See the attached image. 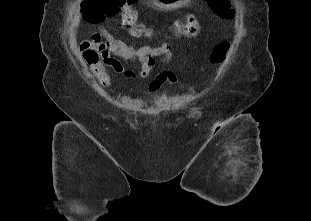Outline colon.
Listing matches in <instances>:
<instances>
[{"instance_id": "colon-1", "label": "colon", "mask_w": 311, "mask_h": 221, "mask_svg": "<svg viewBox=\"0 0 311 221\" xmlns=\"http://www.w3.org/2000/svg\"><path fill=\"white\" fill-rule=\"evenodd\" d=\"M134 4L135 0L87 1L82 19L83 22H94L96 26H101L103 21L100 17H103V20L106 17L108 22H111L113 17H122L121 26L130 29L132 34H136L140 25L137 23L138 11ZM205 4H209V8L213 9L217 20H228L234 16L232 7L228 6L225 0H205ZM175 28L189 37H196L201 30V25L195 17L189 16L177 23ZM228 47L229 45L226 42L216 46L212 54V60L215 63L223 61L228 53ZM79 49L91 65L93 75L103 84L109 81L104 64L112 54L111 42L100 35H94L83 39Z\"/></svg>"}]
</instances>
